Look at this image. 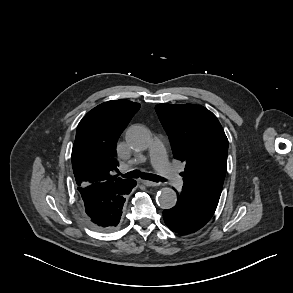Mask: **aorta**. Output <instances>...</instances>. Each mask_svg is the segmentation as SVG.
I'll return each instance as SVG.
<instances>
[{
    "label": "aorta",
    "instance_id": "obj_1",
    "mask_svg": "<svg viewBox=\"0 0 293 293\" xmlns=\"http://www.w3.org/2000/svg\"><path fill=\"white\" fill-rule=\"evenodd\" d=\"M126 141L131 148L144 150L150 145L151 135L143 126H132L126 133ZM176 202V192L170 187H164L157 193V203L163 209L173 208Z\"/></svg>",
    "mask_w": 293,
    "mask_h": 293
}]
</instances>
